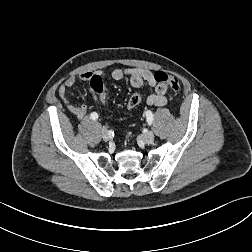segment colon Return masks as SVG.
<instances>
[{"label": "colon", "mask_w": 252, "mask_h": 252, "mask_svg": "<svg viewBox=\"0 0 252 252\" xmlns=\"http://www.w3.org/2000/svg\"><path fill=\"white\" fill-rule=\"evenodd\" d=\"M154 79L158 83H163L166 86L170 87L172 90L177 91L180 89V83L178 79L174 76L166 74L162 71H157L154 73ZM90 86L93 89L94 93L99 99V102L104 106L110 105L108 90L105 87L102 78L99 75H93L90 78ZM142 94L139 92L133 93L124 105V110L131 111L135 109L142 102Z\"/></svg>", "instance_id": "1"}]
</instances>
